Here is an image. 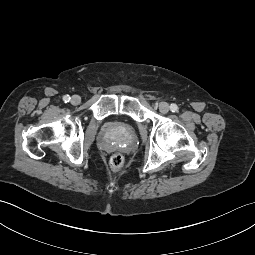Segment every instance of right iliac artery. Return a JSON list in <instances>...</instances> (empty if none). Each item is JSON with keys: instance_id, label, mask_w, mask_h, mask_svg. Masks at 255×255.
<instances>
[{"instance_id": "1", "label": "right iliac artery", "mask_w": 255, "mask_h": 255, "mask_svg": "<svg viewBox=\"0 0 255 255\" xmlns=\"http://www.w3.org/2000/svg\"><path fill=\"white\" fill-rule=\"evenodd\" d=\"M70 99H71V98H70L69 95H65V96L63 97V101H64L65 103L69 102Z\"/></svg>"}]
</instances>
